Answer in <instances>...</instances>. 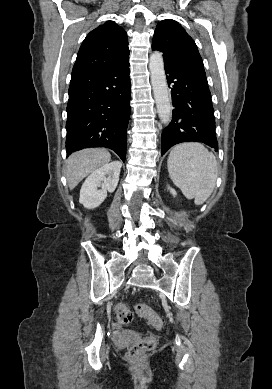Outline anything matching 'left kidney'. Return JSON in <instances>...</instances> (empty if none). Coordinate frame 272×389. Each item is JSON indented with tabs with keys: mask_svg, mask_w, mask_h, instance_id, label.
Here are the masks:
<instances>
[{
	"mask_svg": "<svg viewBox=\"0 0 272 389\" xmlns=\"http://www.w3.org/2000/svg\"><path fill=\"white\" fill-rule=\"evenodd\" d=\"M168 189L170 190V193H171L173 196H176V195H177L176 191H175L173 188L168 187Z\"/></svg>",
	"mask_w": 272,
	"mask_h": 389,
	"instance_id": "5707ae66",
	"label": "left kidney"
}]
</instances>
